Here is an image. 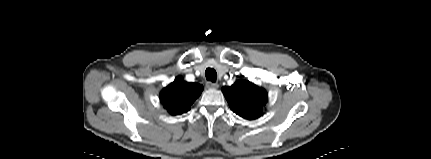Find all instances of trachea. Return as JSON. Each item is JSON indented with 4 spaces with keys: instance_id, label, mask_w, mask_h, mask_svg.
<instances>
[{
    "instance_id": "trachea-1",
    "label": "trachea",
    "mask_w": 431,
    "mask_h": 159,
    "mask_svg": "<svg viewBox=\"0 0 431 159\" xmlns=\"http://www.w3.org/2000/svg\"><path fill=\"white\" fill-rule=\"evenodd\" d=\"M206 79L211 82H215L217 78V73L213 68H207L205 71Z\"/></svg>"
}]
</instances>
